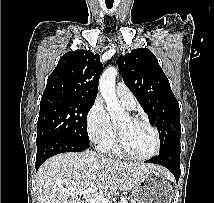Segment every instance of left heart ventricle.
Here are the masks:
<instances>
[{"mask_svg":"<svg viewBox=\"0 0 214 203\" xmlns=\"http://www.w3.org/2000/svg\"><path fill=\"white\" fill-rule=\"evenodd\" d=\"M118 126L122 129L125 146L131 153L144 156L153 151L155 138L148 126L133 122L129 116L121 119Z\"/></svg>","mask_w":214,"mask_h":203,"instance_id":"b2bd125f","label":"left heart ventricle"}]
</instances>
